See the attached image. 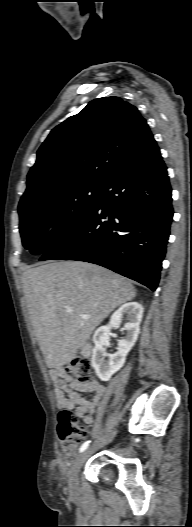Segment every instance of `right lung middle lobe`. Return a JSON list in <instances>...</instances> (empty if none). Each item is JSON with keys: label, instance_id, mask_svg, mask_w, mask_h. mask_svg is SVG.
Listing matches in <instances>:
<instances>
[{"label": "right lung middle lobe", "instance_id": "obj_1", "mask_svg": "<svg viewBox=\"0 0 192 527\" xmlns=\"http://www.w3.org/2000/svg\"><path fill=\"white\" fill-rule=\"evenodd\" d=\"M103 187L79 184L19 205L23 246L32 254L47 252L83 222L98 202Z\"/></svg>", "mask_w": 192, "mask_h": 527}]
</instances>
